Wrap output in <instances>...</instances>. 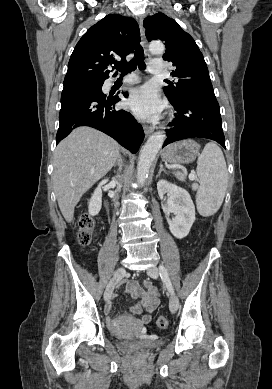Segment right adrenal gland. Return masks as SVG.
<instances>
[{"mask_svg":"<svg viewBox=\"0 0 272 389\" xmlns=\"http://www.w3.org/2000/svg\"><path fill=\"white\" fill-rule=\"evenodd\" d=\"M116 166L118 167V172L120 173L123 169V160H122L121 156L118 157L117 162L114 165V167H116Z\"/></svg>","mask_w":272,"mask_h":389,"instance_id":"2a0ac1e0","label":"right adrenal gland"}]
</instances>
